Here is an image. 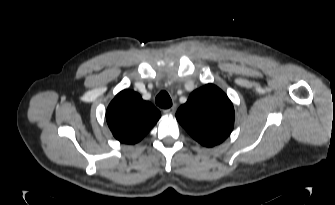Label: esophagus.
I'll return each mask as SVG.
<instances>
[{"label":"esophagus","mask_w":335,"mask_h":205,"mask_svg":"<svg viewBox=\"0 0 335 205\" xmlns=\"http://www.w3.org/2000/svg\"><path fill=\"white\" fill-rule=\"evenodd\" d=\"M175 111H176V107L173 106V107H171V108H169V109H165V110H163V113L166 114V115H172V114L175 113Z\"/></svg>","instance_id":"34e87169"}]
</instances>
